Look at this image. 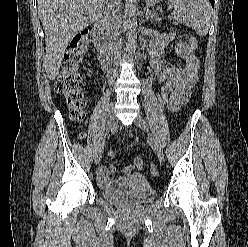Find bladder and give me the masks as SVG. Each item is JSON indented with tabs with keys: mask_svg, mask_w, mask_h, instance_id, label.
I'll use <instances>...</instances> for the list:
<instances>
[{
	"mask_svg": "<svg viewBox=\"0 0 248 247\" xmlns=\"http://www.w3.org/2000/svg\"><path fill=\"white\" fill-rule=\"evenodd\" d=\"M156 190L142 173H135L134 178L122 192L101 190V196L112 204L123 207H135L150 202Z\"/></svg>",
	"mask_w": 248,
	"mask_h": 247,
	"instance_id": "bladder-1",
	"label": "bladder"
}]
</instances>
